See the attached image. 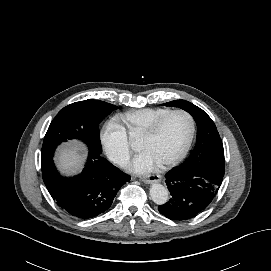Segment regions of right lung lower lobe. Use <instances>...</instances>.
<instances>
[{
    "label": "right lung lower lobe",
    "mask_w": 271,
    "mask_h": 271,
    "mask_svg": "<svg viewBox=\"0 0 271 271\" xmlns=\"http://www.w3.org/2000/svg\"><path fill=\"white\" fill-rule=\"evenodd\" d=\"M43 181L56 203L70 215L88 219L105 212L129 175L112 165L100 153L90 150L83 172L62 177L52 156L41 158Z\"/></svg>",
    "instance_id": "obj_1"
}]
</instances>
